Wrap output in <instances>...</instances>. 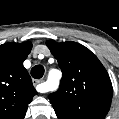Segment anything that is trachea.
Returning a JSON list of instances; mask_svg holds the SVG:
<instances>
[{
  "label": "trachea",
  "instance_id": "3493384b",
  "mask_svg": "<svg viewBox=\"0 0 119 119\" xmlns=\"http://www.w3.org/2000/svg\"><path fill=\"white\" fill-rule=\"evenodd\" d=\"M31 75L35 79H40L44 75V67L42 65H36L31 69Z\"/></svg>",
  "mask_w": 119,
  "mask_h": 119
}]
</instances>
